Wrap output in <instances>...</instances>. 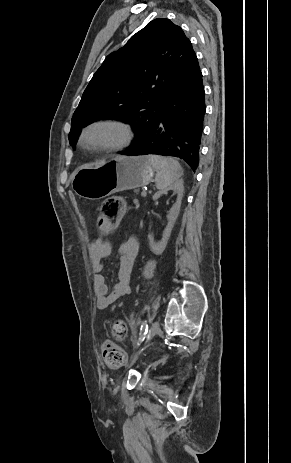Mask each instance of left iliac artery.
Segmentation results:
<instances>
[{
    "label": "left iliac artery",
    "instance_id": "1",
    "mask_svg": "<svg viewBox=\"0 0 291 463\" xmlns=\"http://www.w3.org/2000/svg\"><path fill=\"white\" fill-rule=\"evenodd\" d=\"M147 332H148V324L145 321L141 325V332H140L139 342H142L145 339V335L147 334Z\"/></svg>",
    "mask_w": 291,
    "mask_h": 463
}]
</instances>
